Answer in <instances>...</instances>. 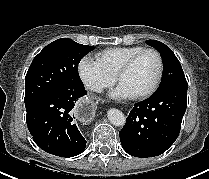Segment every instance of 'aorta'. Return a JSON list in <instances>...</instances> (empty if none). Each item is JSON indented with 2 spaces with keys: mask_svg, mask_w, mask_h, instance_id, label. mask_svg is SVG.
Segmentation results:
<instances>
[{
  "mask_svg": "<svg viewBox=\"0 0 209 179\" xmlns=\"http://www.w3.org/2000/svg\"><path fill=\"white\" fill-rule=\"evenodd\" d=\"M107 117L111 124L115 126H123L126 123V117L118 109H110L107 112Z\"/></svg>",
  "mask_w": 209,
  "mask_h": 179,
  "instance_id": "obj_1",
  "label": "aorta"
}]
</instances>
